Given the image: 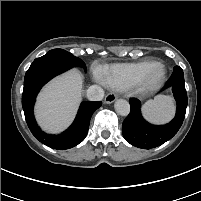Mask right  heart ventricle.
<instances>
[{
  "label": "right heart ventricle",
  "mask_w": 201,
  "mask_h": 201,
  "mask_svg": "<svg viewBox=\"0 0 201 201\" xmlns=\"http://www.w3.org/2000/svg\"><path fill=\"white\" fill-rule=\"evenodd\" d=\"M156 61L143 60L134 63H121L105 67L102 70L104 83L117 90L135 86L144 72Z\"/></svg>",
  "instance_id": "e07e8e85"
}]
</instances>
